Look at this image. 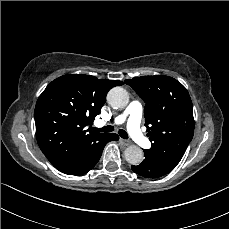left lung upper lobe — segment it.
I'll list each match as a JSON object with an SVG mask.
<instances>
[{"instance_id":"left-lung-upper-lobe-1","label":"left lung upper lobe","mask_w":229,"mask_h":229,"mask_svg":"<svg viewBox=\"0 0 229 229\" xmlns=\"http://www.w3.org/2000/svg\"><path fill=\"white\" fill-rule=\"evenodd\" d=\"M145 102V126L152 147L144 150L160 170L171 172L183 157L194 134L193 105L176 79L142 76L125 80Z\"/></svg>"}]
</instances>
